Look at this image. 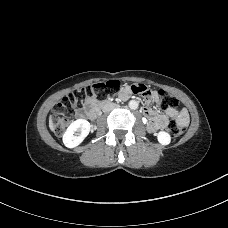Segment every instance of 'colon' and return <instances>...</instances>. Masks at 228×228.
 <instances>
[{
	"mask_svg": "<svg viewBox=\"0 0 228 228\" xmlns=\"http://www.w3.org/2000/svg\"><path fill=\"white\" fill-rule=\"evenodd\" d=\"M123 82L120 80H108L106 82L93 84L89 87L77 89L72 94L64 97L55 107L52 116V123L56 134L60 135L69 123V116L76 108H79L86 102L90 96L100 97L104 90H115L120 88ZM131 90L135 94L142 95L145 98L151 96L152 92L143 84H132ZM91 93L90 96H87ZM159 105L162 110L175 109L178 105V100L173 95L164 90L158 91ZM168 131L173 138L182 136L185 132V126L177 121H171L168 125Z\"/></svg>",
	"mask_w": 228,
	"mask_h": 228,
	"instance_id": "colon-1",
	"label": "colon"
}]
</instances>
